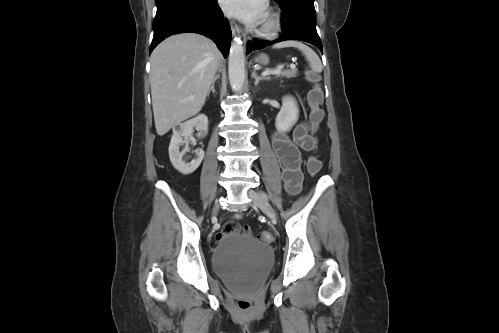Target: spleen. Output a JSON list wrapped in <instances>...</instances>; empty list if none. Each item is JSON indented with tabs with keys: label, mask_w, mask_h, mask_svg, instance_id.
<instances>
[{
	"label": "spleen",
	"mask_w": 499,
	"mask_h": 333,
	"mask_svg": "<svg viewBox=\"0 0 499 333\" xmlns=\"http://www.w3.org/2000/svg\"><path fill=\"white\" fill-rule=\"evenodd\" d=\"M285 47H294L299 49L306 57L307 61L310 64L311 69L318 73L322 72L323 65L321 63V60L319 56L310 47L299 41H294V40L283 41L273 46V48L277 49Z\"/></svg>",
	"instance_id": "1"
}]
</instances>
